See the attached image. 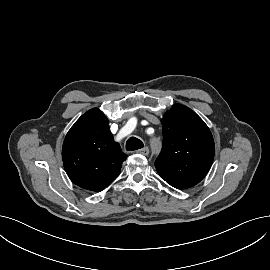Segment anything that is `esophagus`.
I'll list each match as a JSON object with an SVG mask.
<instances>
[{"label": "esophagus", "mask_w": 270, "mask_h": 270, "mask_svg": "<svg viewBox=\"0 0 270 270\" xmlns=\"http://www.w3.org/2000/svg\"><path fill=\"white\" fill-rule=\"evenodd\" d=\"M137 153H140L142 155H148L149 154V148L148 147H144L142 149L137 150Z\"/></svg>", "instance_id": "obj_1"}]
</instances>
